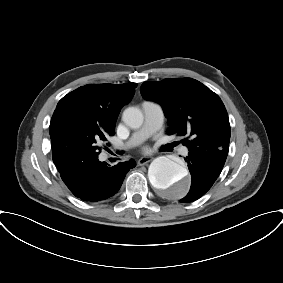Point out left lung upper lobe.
Listing matches in <instances>:
<instances>
[{"label":"left lung upper lobe","mask_w":283,"mask_h":283,"mask_svg":"<svg viewBox=\"0 0 283 283\" xmlns=\"http://www.w3.org/2000/svg\"><path fill=\"white\" fill-rule=\"evenodd\" d=\"M144 98L163 107L169 134L187 136L182 140L189 156L204 165L222 169L228 155L230 124L219 96L192 78H168L142 84Z\"/></svg>","instance_id":"1"}]
</instances>
